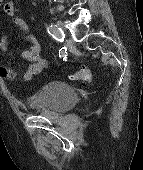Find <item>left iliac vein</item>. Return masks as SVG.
<instances>
[{"label":"left iliac vein","mask_w":143,"mask_h":170,"mask_svg":"<svg viewBox=\"0 0 143 170\" xmlns=\"http://www.w3.org/2000/svg\"><path fill=\"white\" fill-rule=\"evenodd\" d=\"M56 25H57V27H59L60 29H63V27H64V24H63L62 21H58V22L56 23ZM67 44L70 45V44H71V41H70V40L67 41Z\"/></svg>","instance_id":"1"}]
</instances>
